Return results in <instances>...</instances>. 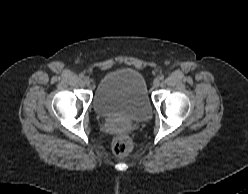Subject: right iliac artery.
Returning a JSON list of instances; mask_svg holds the SVG:
<instances>
[{
    "instance_id": "obj_1",
    "label": "right iliac artery",
    "mask_w": 248,
    "mask_h": 194,
    "mask_svg": "<svg viewBox=\"0 0 248 194\" xmlns=\"http://www.w3.org/2000/svg\"><path fill=\"white\" fill-rule=\"evenodd\" d=\"M79 77H80V78H84V74H83V73H80V74H79Z\"/></svg>"
}]
</instances>
